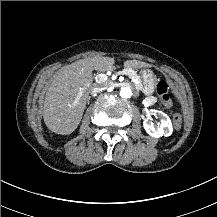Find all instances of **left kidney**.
<instances>
[{"mask_svg":"<svg viewBox=\"0 0 217 217\" xmlns=\"http://www.w3.org/2000/svg\"><path fill=\"white\" fill-rule=\"evenodd\" d=\"M157 115L158 124H154L151 118L147 116L143 121V128L145 132L154 138H160L162 136L169 137L173 133V125L167 114L162 111L152 110Z\"/></svg>","mask_w":217,"mask_h":217,"instance_id":"left-kidney-1","label":"left kidney"}]
</instances>
